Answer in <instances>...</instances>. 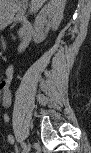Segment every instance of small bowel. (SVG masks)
Masks as SVG:
<instances>
[{
  "instance_id": "obj_1",
  "label": "small bowel",
  "mask_w": 91,
  "mask_h": 153,
  "mask_svg": "<svg viewBox=\"0 0 91 153\" xmlns=\"http://www.w3.org/2000/svg\"><path fill=\"white\" fill-rule=\"evenodd\" d=\"M12 68L10 66L5 67L4 77L0 81V90H1V103L3 106H10L12 102V96L9 90L11 80H12ZM8 141L10 144H15L16 140L13 135L8 136Z\"/></svg>"
}]
</instances>
